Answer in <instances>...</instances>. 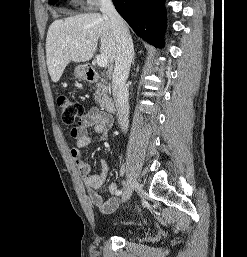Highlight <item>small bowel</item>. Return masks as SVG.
I'll use <instances>...</instances> for the list:
<instances>
[{
	"mask_svg": "<svg viewBox=\"0 0 247 257\" xmlns=\"http://www.w3.org/2000/svg\"><path fill=\"white\" fill-rule=\"evenodd\" d=\"M111 126L112 120L109 116L97 108H90L80 119L78 125L70 131L71 136L76 140L75 147L71 149V156L88 189L90 201L104 214H111L118 208V187L115 183L109 184L108 191L112 197L108 199L101 197L98 190L108 177L109 165L105 160H101L100 173L89 175L90 168L83 159L82 150L92 142L93 137L89 133V129H92L94 134L100 135L102 140H106Z\"/></svg>",
	"mask_w": 247,
	"mask_h": 257,
	"instance_id": "small-bowel-1",
	"label": "small bowel"
}]
</instances>
